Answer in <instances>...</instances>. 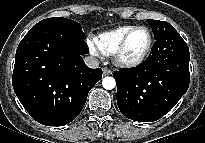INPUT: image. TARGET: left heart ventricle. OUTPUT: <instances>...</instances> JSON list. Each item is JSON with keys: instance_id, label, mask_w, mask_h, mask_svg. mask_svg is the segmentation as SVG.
<instances>
[{"instance_id": "1", "label": "left heart ventricle", "mask_w": 205, "mask_h": 143, "mask_svg": "<svg viewBox=\"0 0 205 143\" xmlns=\"http://www.w3.org/2000/svg\"><path fill=\"white\" fill-rule=\"evenodd\" d=\"M148 40V34L144 29H139L133 32L127 42L123 58L125 60H135L139 58L145 51Z\"/></svg>"}]
</instances>
